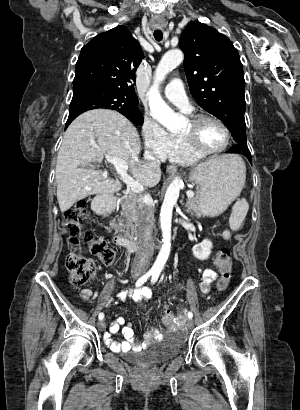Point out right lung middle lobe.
Wrapping results in <instances>:
<instances>
[{
	"mask_svg": "<svg viewBox=\"0 0 300 410\" xmlns=\"http://www.w3.org/2000/svg\"><path fill=\"white\" fill-rule=\"evenodd\" d=\"M96 108L116 110L135 123L142 124L144 120L138 107L130 108L129 101L117 92L89 83L74 84L67 122L85 111Z\"/></svg>",
	"mask_w": 300,
	"mask_h": 410,
	"instance_id": "dd1d6c3e",
	"label": "right lung middle lobe"
}]
</instances>
